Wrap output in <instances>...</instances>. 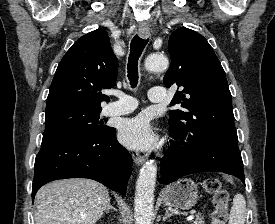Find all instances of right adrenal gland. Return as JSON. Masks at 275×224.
Here are the masks:
<instances>
[{
  "mask_svg": "<svg viewBox=\"0 0 275 224\" xmlns=\"http://www.w3.org/2000/svg\"><path fill=\"white\" fill-rule=\"evenodd\" d=\"M110 210L117 211L111 204L108 205V207L105 209L106 213H109Z\"/></svg>",
  "mask_w": 275,
  "mask_h": 224,
  "instance_id": "right-adrenal-gland-1",
  "label": "right adrenal gland"
}]
</instances>
